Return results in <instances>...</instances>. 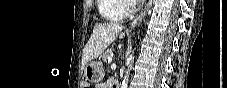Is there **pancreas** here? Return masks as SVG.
Wrapping results in <instances>:
<instances>
[{
	"label": "pancreas",
	"mask_w": 227,
	"mask_h": 88,
	"mask_svg": "<svg viewBox=\"0 0 227 88\" xmlns=\"http://www.w3.org/2000/svg\"><path fill=\"white\" fill-rule=\"evenodd\" d=\"M111 55H112V50L111 49L106 50L102 55V60L106 62L108 57H110Z\"/></svg>",
	"instance_id": "cf45deb5"
}]
</instances>
